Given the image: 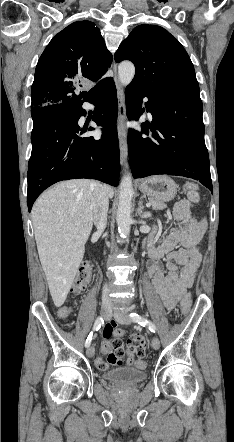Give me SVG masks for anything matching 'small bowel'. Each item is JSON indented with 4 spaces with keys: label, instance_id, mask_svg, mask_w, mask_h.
<instances>
[{
    "label": "small bowel",
    "instance_id": "c3829d8e",
    "mask_svg": "<svg viewBox=\"0 0 234 442\" xmlns=\"http://www.w3.org/2000/svg\"><path fill=\"white\" fill-rule=\"evenodd\" d=\"M198 202V196H187L179 201L173 211L179 227L156 246L154 236L157 233V227L155 226L147 242L149 255L147 275L151 278L154 290L160 295L168 310H173L179 302H182L187 289L193 285L195 274L201 263L198 247L207 222L205 217L198 218L193 213V210L198 207ZM178 245L181 247L177 248ZM161 259L165 261L167 273L164 272ZM178 266L181 267L180 270ZM105 325L102 351L123 349L121 337L124 335V329L118 327L111 319L106 320ZM142 341H144V336L141 334L129 337L125 350L128 366L138 363L135 355L139 359L145 358L147 343ZM121 363L123 366L122 361Z\"/></svg>",
    "mask_w": 234,
    "mask_h": 442
}]
</instances>
